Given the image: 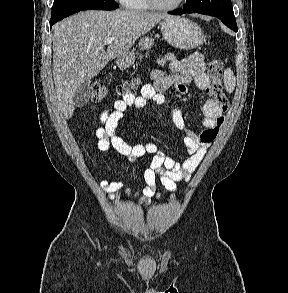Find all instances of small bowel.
<instances>
[{
	"label": "small bowel",
	"instance_id": "small-bowel-1",
	"mask_svg": "<svg viewBox=\"0 0 288 293\" xmlns=\"http://www.w3.org/2000/svg\"><path fill=\"white\" fill-rule=\"evenodd\" d=\"M164 65H168L169 74L160 69ZM158 66L151 72L153 83L144 85L140 95H124L114 103L113 111H104L100 116L101 127L96 130L97 147L100 151L113 149L131 162L138 161L146 154L153 156L149 168L144 172L146 185L142 190L133 192L131 188L124 187L120 181L101 182L102 189L109 194L111 200L116 199V192L124 189L127 197H140L142 203L150 204L152 198L161 196L156 189L157 180L166 190L174 192L177 182H188L191 179L224 123L223 110L214 99L209 98L202 107V131L199 133L189 131L178 108L165 102L163 93L172 86L180 94L187 93L189 83H194L200 90L208 89L210 80L205 72L201 53L194 52L183 59L167 54L158 60ZM149 100L158 105H166L174 126L185 132L184 144L188 158L182 163L165 155L155 143L131 145L117 132L118 124L125 112L129 108L141 110Z\"/></svg>",
	"mask_w": 288,
	"mask_h": 293
}]
</instances>
